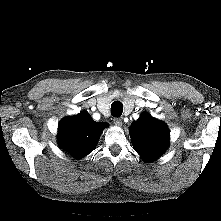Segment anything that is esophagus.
Returning a JSON list of instances; mask_svg holds the SVG:
<instances>
[{"label":"esophagus","mask_w":221,"mask_h":221,"mask_svg":"<svg viewBox=\"0 0 221 221\" xmlns=\"http://www.w3.org/2000/svg\"><path fill=\"white\" fill-rule=\"evenodd\" d=\"M113 123L116 125V126H122V120L120 118H114L113 119Z\"/></svg>","instance_id":"esophagus-1"}]
</instances>
